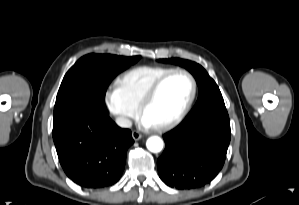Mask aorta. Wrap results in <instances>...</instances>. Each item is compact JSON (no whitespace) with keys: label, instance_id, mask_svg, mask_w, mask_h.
<instances>
[{"label":"aorta","instance_id":"aorta-1","mask_svg":"<svg viewBox=\"0 0 299 205\" xmlns=\"http://www.w3.org/2000/svg\"><path fill=\"white\" fill-rule=\"evenodd\" d=\"M147 149L153 153H158L163 149V141L158 136L148 138L146 142Z\"/></svg>","mask_w":299,"mask_h":205}]
</instances>
